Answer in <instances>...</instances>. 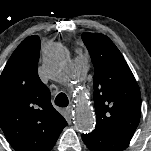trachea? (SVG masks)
<instances>
[{
    "instance_id": "3493384b",
    "label": "trachea",
    "mask_w": 151,
    "mask_h": 151,
    "mask_svg": "<svg viewBox=\"0 0 151 151\" xmlns=\"http://www.w3.org/2000/svg\"><path fill=\"white\" fill-rule=\"evenodd\" d=\"M68 103V98L64 93H59L55 98V104L59 107H67Z\"/></svg>"
}]
</instances>
